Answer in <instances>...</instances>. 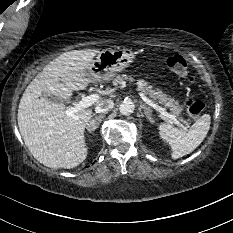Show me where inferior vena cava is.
<instances>
[{"label":"inferior vena cava","mask_w":233,"mask_h":233,"mask_svg":"<svg viewBox=\"0 0 233 233\" xmlns=\"http://www.w3.org/2000/svg\"><path fill=\"white\" fill-rule=\"evenodd\" d=\"M114 106V102L110 99H106L98 103L95 107L96 113H107Z\"/></svg>","instance_id":"602c4592"}]
</instances>
